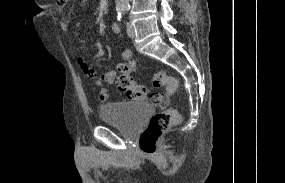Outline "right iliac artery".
Here are the masks:
<instances>
[{
    "mask_svg": "<svg viewBox=\"0 0 285 183\" xmlns=\"http://www.w3.org/2000/svg\"><path fill=\"white\" fill-rule=\"evenodd\" d=\"M123 12H124V9H118L117 10V13H118V20H120L122 18V15H123Z\"/></svg>",
    "mask_w": 285,
    "mask_h": 183,
    "instance_id": "obj_1",
    "label": "right iliac artery"
}]
</instances>
